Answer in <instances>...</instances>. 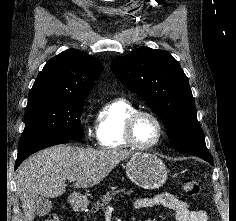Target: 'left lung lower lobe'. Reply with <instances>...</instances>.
Instances as JSON below:
<instances>
[{
  "label": "left lung lower lobe",
  "instance_id": "obj_1",
  "mask_svg": "<svg viewBox=\"0 0 236 221\" xmlns=\"http://www.w3.org/2000/svg\"><path fill=\"white\" fill-rule=\"evenodd\" d=\"M194 155H196V156H198V157H200V158L210 162L211 164H213V159H212V156L209 153V151L205 152V153H197V154H194Z\"/></svg>",
  "mask_w": 236,
  "mask_h": 221
}]
</instances>
